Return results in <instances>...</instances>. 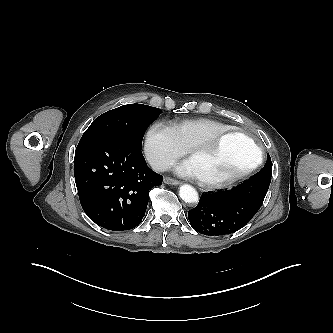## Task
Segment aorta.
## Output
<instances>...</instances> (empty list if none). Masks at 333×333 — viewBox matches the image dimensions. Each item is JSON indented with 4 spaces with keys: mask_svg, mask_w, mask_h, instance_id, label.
I'll return each instance as SVG.
<instances>
[{
    "mask_svg": "<svg viewBox=\"0 0 333 333\" xmlns=\"http://www.w3.org/2000/svg\"><path fill=\"white\" fill-rule=\"evenodd\" d=\"M179 196L189 203H195L198 201V193L196 189L188 184H184L180 187Z\"/></svg>",
    "mask_w": 333,
    "mask_h": 333,
    "instance_id": "aorta-1",
    "label": "aorta"
}]
</instances>
